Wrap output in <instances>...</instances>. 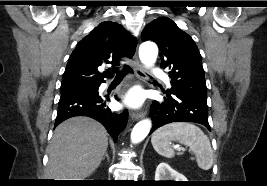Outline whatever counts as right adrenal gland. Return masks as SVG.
I'll return each instance as SVG.
<instances>
[{"label":"right adrenal gland","mask_w":267,"mask_h":186,"mask_svg":"<svg viewBox=\"0 0 267 186\" xmlns=\"http://www.w3.org/2000/svg\"><path fill=\"white\" fill-rule=\"evenodd\" d=\"M105 158L107 159V161L109 162V155H108V152L106 151L105 152V155H104V157L102 158V160H105Z\"/></svg>","instance_id":"1"}]
</instances>
